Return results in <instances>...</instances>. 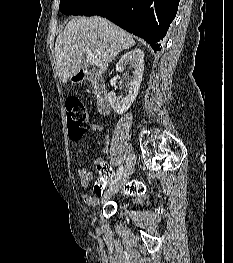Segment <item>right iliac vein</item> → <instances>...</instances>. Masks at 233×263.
Listing matches in <instances>:
<instances>
[{
    "label": "right iliac vein",
    "mask_w": 233,
    "mask_h": 263,
    "mask_svg": "<svg viewBox=\"0 0 233 263\" xmlns=\"http://www.w3.org/2000/svg\"><path fill=\"white\" fill-rule=\"evenodd\" d=\"M135 162H136V156L134 153H131L126 160L123 174L121 175L120 179L111 188H109L105 192L104 198H108L114 195L123 187V185L125 184V182L127 181V179L130 177V175L133 172V167H134Z\"/></svg>",
    "instance_id": "obj_1"
}]
</instances>
